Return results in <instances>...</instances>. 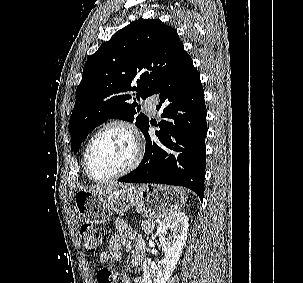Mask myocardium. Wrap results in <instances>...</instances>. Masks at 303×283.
I'll return each mask as SVG.
<instances>
[{
	"label": "myocardium",
	"mask_w": 303,
	"mask_h": 283,
	"mask_svg": "<svg viewBox=\"0 0 303 283\" xmlns=\"http://www.w3.org/2000/svg\"><path fill=\"white\" fill-rule=\"evenodd\" d=\"M112 127L122 128L129 133V135L131 136L133 143H134V155H133V158L130 161V163L126 167H124L122 170H120L110 176H107L104 178H98L92 174V171L90 169V165H89L90 150H91V147H92L94 141L96 140V138L102 132H104L105 130L112 128ZM143 155H144V142H143L142 136L140 135V133L136 129V127L126 121L111 120V121H108L107 123L103 124L100 128H98L95 131V133L92 135L90 140L88 141L85 151H84L83 165H84L86 175L91 180H93L95 182H108L111 180L121 178V177L129 174L133 170H135L141 163V161L143 159Z\"/></svg>",
	"instance_id": "myocardium-1"
}]
</instances>
